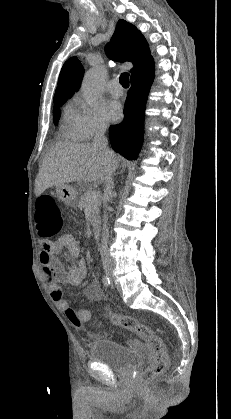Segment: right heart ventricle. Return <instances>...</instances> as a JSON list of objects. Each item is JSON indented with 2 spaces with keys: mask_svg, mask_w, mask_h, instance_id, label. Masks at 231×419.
<instances>
[{
  "mask_svg": "<svg viewBox=\"0 0 231 419\" xmlns=\"http://www.w3.org/2000/svg\"><path fill=\"white\" fill-rule=\"evenodd\" d=\"M73 114V107L67 106L62 120L61 133L64 138L77 141L80 139V137L75 128Z\"/></svg>",
  "mask_w": 231,
  "mask_h": 419,
  "instance_id": "1",
  "label": "right heart ventricle"
}]
</instances>
